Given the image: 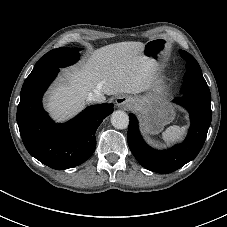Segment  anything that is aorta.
<instances>
[{"instance_id": "obj_1", "label": "aorta", "mask_w": 227, "mask_h": 227, "mask_svg": "<svg viewBox=\"0 0 227 227\" xmlns=\"http://www.w3.org/2000/svg\"><path fill=\"white\" fill-rule=\"evenodd\" d=\"M111 123L116 129H126L129 125V116L124 111H114L111 115Z\"/></svg>"}]
</instances>
